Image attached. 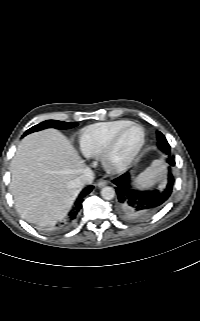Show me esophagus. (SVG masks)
<instances>
[{"instance_id": "1", "label": "esophagus", "mask_w": 200, "mask_h": 321, "mask_svg": "<svg viewBox=\"0 0 200 321\" xmlns=\"http://www.w3.org/2000/svg\"><path fill=\"white\" fill-rule=\"evenodd\" d=\"M105 185H107V181H106V180H103V179L99 180L98 183H97V186H98L99 188H102V187H104Z\"/></svg>"}]
</instances>
